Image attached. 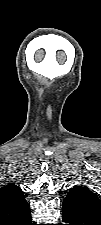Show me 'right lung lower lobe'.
I'll use <instances>...</instances> for the list:
<instances>
[{"mask_svg":"<svg viewBox=\"0 0 101 225\" xmlns=\"http://www.w3.org/2000/svg\"><path fill=\"white\" fill-rule=\"evenodd\" d=\"M28 225H33V224H32V221H31L30 223H28Z\"/></svg>","mask_w":101,"mask_h":225,"instance_id":"right-lung-lower-lobe-1","label":"right lung lower lobe"}]
</instances>
